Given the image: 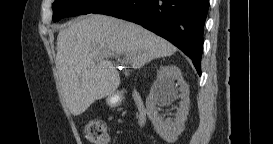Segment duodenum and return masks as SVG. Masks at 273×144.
Listing matches in <instances>:
<instances>
[{
	"instance_id": "1",
	"label": "duodenum",
	"mask_w": 273,
	"mask_h": 144,
	"mask_svg": "<svg viewBox=\"0 0 273 144\" xmlns=\"http://www.w3.org/2000/svg\"><path fill=\"white\" fill-rule=\"evenodd\" d=\"M134 100L137 106V121L139 125H144L147 121L145 109L140 101L138 93H134Z\"/></svg>"
}]
</instances>
